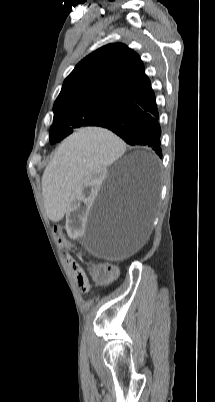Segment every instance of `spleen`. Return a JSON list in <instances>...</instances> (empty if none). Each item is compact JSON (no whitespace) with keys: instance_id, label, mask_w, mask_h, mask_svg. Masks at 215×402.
I'll use <instances>...</instances> for the list:
<instances>
[{"instance_id":"spleen-1","label":"spleen","mask_w":215,"mask_h":402,"mask_svg":"<svg viewBox=\"0 0 215 402\" xmlns=\"http://www.w3.org/2000/svg\"><path fill=\"white\" fill-rule=\"evenodd\" d=\"M124 149L110 128H76L75 133L59 144L52 164L43 176L47 190L46 213L49 220H60L68 208L76 186L98 169H105Z\"/></svg>"}]
</instances>
